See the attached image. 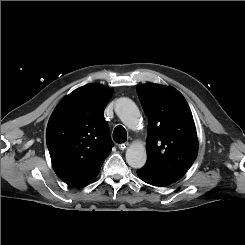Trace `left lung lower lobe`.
Segmentation results:
<instances>
[{"label":"left lung lower lobe","instance_id":"obj_1","mask_svg":"<svg viewBox=\"0 0 245 245\" xmlns=\"http://www.w3.org/2000/svg\"><path fill=\"white\" fill-rule=\"evenodd\" d=\"M137 175L144 182L158 187H167L179 180L177 177H172L145 167L138 169Z\"/></svg>","mask_w":245,"mask_h":245}]
</instances>
